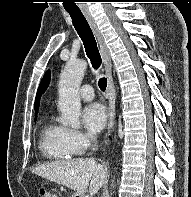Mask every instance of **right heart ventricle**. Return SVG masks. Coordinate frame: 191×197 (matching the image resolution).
Listing matches in <instances>:
<instances>
[{
    "label": "right heart ventricle",
    "instance_id": "right-heart-ventricle-1",
    "mask_svg": "<svg viewBox=\"0 0 191 197\" xmlns=\"http://www.w3.org/2000/svg\"><path fill=\"white\" fill-rule=\"evenodd\" d=\"M66 128L56 124L51 117H46L39 134V148L43 156L50 160H68L73 153L65 140Z\"/></svg>",
    "mask_w": 191,
    "mask_h": 197
}]
</instances>
